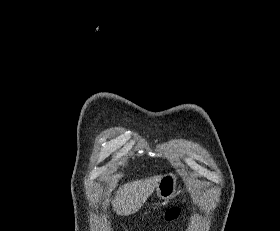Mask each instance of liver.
Instances as JSON below:
<instances>
[{"instance_id":"6515ba94","label":"liver","mask_w":280,"mask_h":231,"mask_svg":"<svg viewBox=\"0 0 280 231\" xmlns=\"http://www.w3.org/2000/svg\"><path fill=\"white\" fill-rule=\"evenodd\" d=\"M162 175H154L148 179H137L120 185L115 199L112 201L113 209L118 215H130L136 213L145 203L147 197L152 195Z\"/></svg>"}]
</instances>
